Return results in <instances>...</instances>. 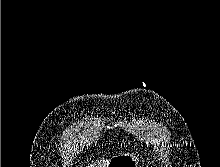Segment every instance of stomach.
I'll return each instance as SVG.
<instances>
[{"instance_id":"1","label":"stomach","mask_w":220,"mask_h":167,"mask_svg":"<svg viewBox=\"0 0 220 167\" xmlns=\"http://www.w3.org/2000/svg\"><path fill=\"white\" fill-rule=\"evenodd\" d=\"M138 158L130 153H119L113 156L108 167H138Z\"/></svg>"}]
</instances>
